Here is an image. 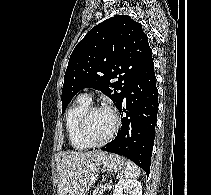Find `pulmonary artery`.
Instances as JSON below:
<instances>
[{"mask_svg":"<svg viewBox=\"0 0 211 195\" xmlns=\"http://www.w3.org/2000/svg\"><path fill=\"white\" fill-rule=\"evenodd\" d=\"M82 96H85V97H87V98L90 99V95H89V93H87V92H85Z\"/></svg>","mask_w":211,"mask_h":195,"instance_id":"obj_1","label":"pulmonary artery"}]
</instances>
